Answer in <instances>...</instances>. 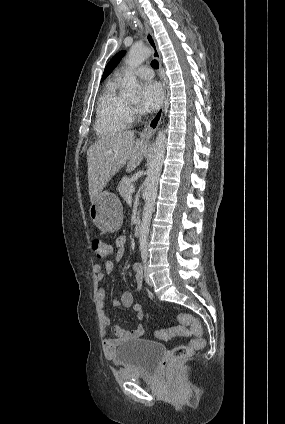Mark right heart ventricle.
<instances>
[{
	"mask_svg": "<svg viewBox=\"0 0 285 424\" xmlns=\"http://www.w3.org/2000/svg\"><path fill=\"white\" fill-rule=\"evenodd\" d=\"M121 83V76L116 75L107 82L99 97L95 131L100 136L116 134L130 122L129 103L119 92Z\"/></svg>",
	"mask_w": 285,
	"mask_h": 424,
	"instance_id": "obj_1",
	"label": "right heart ventricle"
}]
</instances>
